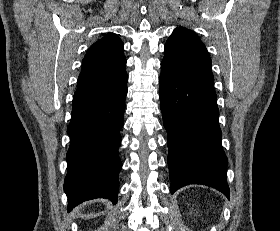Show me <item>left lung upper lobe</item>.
I'll use <instances>...</instances> for the list:
<instances>
[{"label":"left lung upper lobe","mask_w":280,"mask_h":231,"mask_svg":"<svg viewBox=\"0 0 280 231\" xmlns=\"http://www.w3.org/2000/svg\"><path fill=\"white\" fill-rule=\"evenodd\" d=\"M161 68L179 79L213 80L211 59L204 44L192 31L183 27L175 29L168 38Z\"/></svg>","instance_id":"5c2ea615"}]
</instances>
